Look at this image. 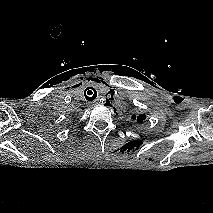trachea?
<instances>
[{"instance_id": "3493384b", "label": "trachea", "mask_w": 213, "mask_h": 213, "mask_svg": "<svg viewBox=\"0 0 213 213\" xmlns=\"http://www.w3.org/2000/svg\"><path fill=\"white\" fill-rule=\"evenodd\" d=\"M88 89H91V90L87 91V95L85 93V98L88 101H92V100H94L97 97V92H96V90L94 88H88Z\"/></svg>"}]
</instances>
